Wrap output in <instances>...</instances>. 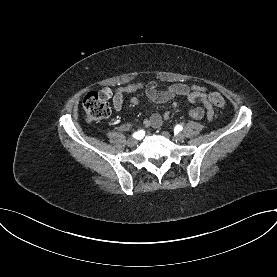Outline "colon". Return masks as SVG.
<instances>
[{"label":"colon","mask_w":277,"mask_h":277,"mask_svg":"<svg viewBox=\"0 0 277 277\" xmlns=\"http://www.w3.org/2000/svg\"><path fill=\"white\" fill-rule=\"evenodd\" d=\"M110 94L107 90L92 91L88 93L83 100V109L87 121L98 122L106 119L111 113L109 103ZM210 101L217 107H224V98L216 93L209 94Z\"/></svg>","instance_id":"1"}]
</instances>
